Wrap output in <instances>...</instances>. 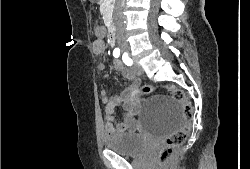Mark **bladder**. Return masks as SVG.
Listing matches in <instances>:
<instances>
[{"instance_id": "obj_1", "label": "bladder", "mask_w": 250, "mask_h": 169, "mask_svg": "<svg viewBox=\"0 0 250 169\" xmlns=\"http://www.w3.org/2000/svg\"><path fill=\"white\" fill-rule=\"evenodd\" d=\"M106 150L123 156H141L148 148L141 134L138 133H110L103 139Z\"/></svg>"}]
</instances>
